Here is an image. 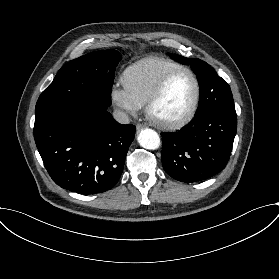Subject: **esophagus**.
<instances>
[{
	"mask_svg": "<svg viewBox=\"0 0 279 279\" xmlns=\"http://www.w3.org/2000/svg\"><path fill=\"white\" fill-rule=\"evenodd\" d=\"M144 127H145L144 124H141V123L137 124L136 125L137 133H139Z\"/></svg>",
	"mask_w": 279,
	"mask_h": 279,
	"instance_id": "34e87169",
	"label": "esophagus"
}]
</instances>
